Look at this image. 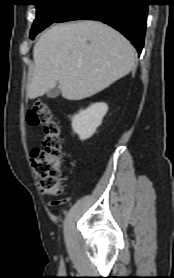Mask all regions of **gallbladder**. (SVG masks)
Here are the masks:
<instances>
[{
  "label": "gallbladder",
  "instance_id": "gallbladder-1",
  "mask_svg": "<svg viewBox=\"0 0 174 278\" xmlns=\"http://www.w3.org/2000/svg\"><path fill=\"white\" fill-rule=\"evenodd\" d=\"M59 95H60V88L57 85L47 92V97L49 98H56Z\"/></svg>",
  "mask_w": 174,
  "mask_h": 278
}]
</instances>
